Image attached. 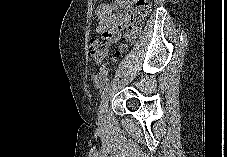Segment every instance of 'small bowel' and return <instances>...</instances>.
I'll return each instance as SVG.
<instances>
[{"label":"small bowel","instance_id":"c3829d8e","mask_svg":"<svg viewBox=\"0 0 227 157\" xmlns=\"http://www.w3.org/2000/svg\"><path fill=\"white\" fill-rule=\"evenodd\" d=\"M135 3L136 0H114L112 3L99 5L95 9L97 32L110 42L118 41L129 23Z\"/></svg>","mask_w":227,"mask_h":157}]
</instances>
